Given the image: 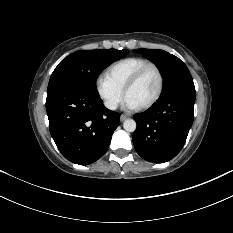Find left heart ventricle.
I'll list each match as a JSON object with an SVG mask.
<instances>
[{
  "instance_id": "obj_1",
  "label": "left heart ventricle",
  "mask_w": 233,
  "mask_h": 233,
  "mask_svg": "<svg viewBox=\"0 0 233 233\" xmlns=\"http://www.w3.org/2000/svg\"><path fill=\"white\" fill-rule=\"evenodd\" d=\"M159 79L154 69H149L128 91L127 96L140 106L151 100L158 90Z\"/></svg>"
}]
</instances>
